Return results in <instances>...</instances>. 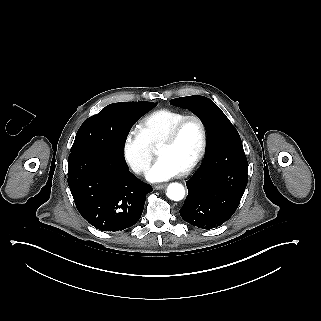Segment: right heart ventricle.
<instances>
[{
  "label": "right heart ventricle",
  "mask_w": 321,
  "mask_h": 321,
  "mask_svg": "<svg viewBox=\"0 0 321 321\" xmlns=\"http://www.w3.org/2000/svg\"><path fill=\"white\" fill-rule=\"evenodd\" d=\"M187 115L183 111L168 108L157 109L144 117L140 126L148 140L160 139L176 122Z\"/></svg>",
  "instance_id": "right-heart-ventricle-1"
}]
</instances>
